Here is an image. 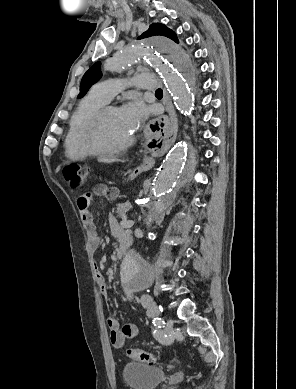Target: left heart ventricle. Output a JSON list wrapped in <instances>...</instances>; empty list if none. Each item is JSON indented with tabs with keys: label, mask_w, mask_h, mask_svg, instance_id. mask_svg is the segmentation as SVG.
Masks as SVG:
<instances>
[{
	"label": "left heart ventricle",
	"mask_w": 296,
	"mask_h": 389,
	"mask_svg": "<svg viewBox=\"0 0 296 389\" xmlns=\"http://www.w3.org/2000/svg\"><path fill=\"white\" fill-rule=\"evenodd\" d=\"M132 133L126 126L120 111L109 112L101 126L100 141L105 147H116L126 142Z\"/></svg>",
	"instance_id": "obj_1"
}]
</instances>
